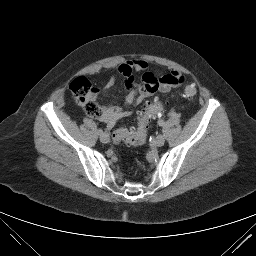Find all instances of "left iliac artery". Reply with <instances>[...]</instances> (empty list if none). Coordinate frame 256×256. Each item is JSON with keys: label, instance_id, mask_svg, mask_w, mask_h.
<instances>
[{"label": "left iliac artery", "instance_id": "obj_1", "mask_svg": "<svg viewBox=\"0 0 256 256\" xmlns=\"http://www.w3.org/2000/svg\"><path fill=\"white\" fill-rule=\"evenodd\" d=\"M158 124H159V126H163L164 125V121L163 120H159Z\"/></svg>", "mask_w": 256, "mask_h": 256}]
</instances>
